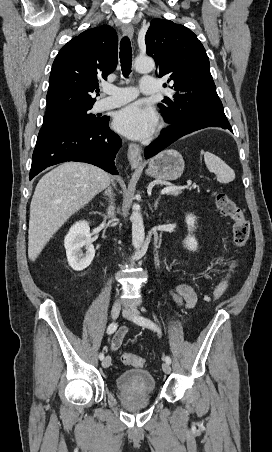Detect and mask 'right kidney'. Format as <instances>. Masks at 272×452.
<instances>
[{
    "label": "right kidney",
    "mask_w": 272,
    "mask_h": 452,
    "mask_svg": "<svg viewBox=\"0 0 272 452\" xmlns=\"http://www.w3.org/2000/svg\"><path fill=\"white\" fill-rule=\"evenodd\" d=\"M69 266L75 271L87 268L94 259L95 249L91 242L90 227L87 221L76 222L64 240ZM86 252L83 254L82 248Z\"/></svg>",
    "instance_id": "right-kidney-1"
}]
</instances>
